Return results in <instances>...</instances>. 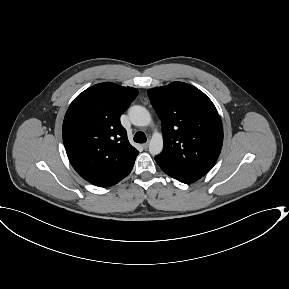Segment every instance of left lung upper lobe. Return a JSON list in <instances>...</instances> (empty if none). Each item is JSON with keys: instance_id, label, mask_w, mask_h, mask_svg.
<instances>
[{"instance_id": "5c2ea615", "label": "left lung upper lobe", "mask_w": 289, "mask_h": 289, "mask_svg": "<svg viewBox=\"0 0 289 289\" xmlns=\"http://www.w3.org/2000/svg\"><path fill=\"white\" fill-rule=\"evenodd\" d=\"M163 125L164 150L156 162L165 173L204 176L223 144L221 118L212 101L183 82L147 91Z\"/></svg>"}]
</instances>
